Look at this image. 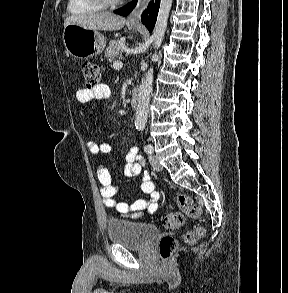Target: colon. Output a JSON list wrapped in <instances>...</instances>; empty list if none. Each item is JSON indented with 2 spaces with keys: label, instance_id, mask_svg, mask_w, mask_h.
Here are the masks:
<instances>
[{
  "label": "colon",
  "instance_id": "obj_1",
  "mask_svg": "<svg viewBox=\"0 0 288 293\" xmlns=\"http://www.w3.org/2000/svg\"><path fill=\"white\" fill-rule=\"evenodd\" d=\"M82 73L87 89H94L100 85L101 72L100 68L92 63L85 62L82 65ZM176 203L180 207L181 212H169L167 213L163 220V226L167 229L179 228L184 222V215L191 218H199L200 210L194 200L185 194H180L176 198ZM202 228H195L185 233L183 241L186 244H194L203 236ZM178 242L172 236H164L159 242L160 255L163 259L169 258L177 249Z\"/></svg>",
  "mask_w": 288,
  "mask_h": 293
}]
</instances>
